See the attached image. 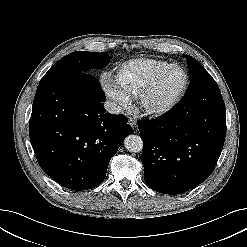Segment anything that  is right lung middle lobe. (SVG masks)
Segmentation results:
<instances>
[{
  "mask_svg": "<svg viewBox=\"0 0 247 247\" xmlns=\"http://www.w3.org/2000/svg\"><path fill=\"white\" fill-rule=\"evenodd\" d=\"M108 60L109 59L106 52H72L56 62L43 78H49L56 74L69 71H77L81 74L89 73L92 69H98L106 66L108 64Z\"/></svg>",
  "mask_w": 247,
  "mask_h": 247,
  "instance_id": "1",
  "label": "right lung middle lobe"
}]
</instances>
